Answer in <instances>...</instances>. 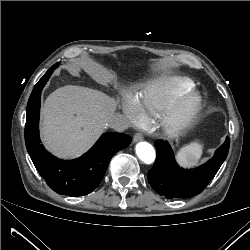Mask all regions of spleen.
<instances>
[{"label": "spleen", "mask_w": 250, "mask_h": 250, "mask_svg": "<svg viewBox=\"0 0 250 250\" xmlns=\"http://www.w3.org/2000/svg\"><path fill=\"white\" fill-rule=\"evenodd\" d=\"M202 156V145L198 142L182 147L178 150L176 157L183 166H194Z\"/></svg>", "instance_id": "1"}]
</instances>
